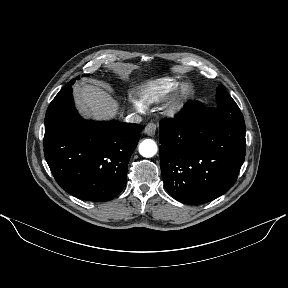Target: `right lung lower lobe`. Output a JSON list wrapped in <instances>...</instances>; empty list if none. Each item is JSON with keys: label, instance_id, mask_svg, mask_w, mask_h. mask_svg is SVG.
<instances>
[{"label": "right lung lower lobe", "instance_id": "98d812e1", "mask_svg": "<svg viewBox=\"0 0 288 288\" xmlns=\"http://www.w3.org/2000/svg\"><path fill=\"white\" fill-rule=\"evenodd\" d=\"M71 86L47 109L45 159L67 193L87 201L112 200L126 185L127 165L143 127L82 119L74 108Z\"/></svg>", "mask_w": 288, "mask_h": 288}]
</instances>
